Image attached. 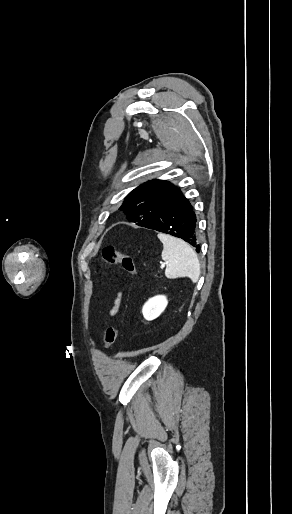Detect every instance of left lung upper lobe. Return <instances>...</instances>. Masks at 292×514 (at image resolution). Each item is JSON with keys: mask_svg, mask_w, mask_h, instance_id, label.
Returning a JSON list of instances; mask_svg holds the SVG:
<instances>
[{"mask_svg": "<svg viewBox=\"0 0 292 514\" xmlns=\"http://www.w3.org/2000/svg\"><path fill=\"white\" fill-rule=\"evenodd\" d=\"M179 189L164 180H151L131 191L119 208L130 222L145 227L161 213L166 202Z\"/></svg>", "mask_w": 292, "mask_h": 514, "instance_id": "obj_1", "label": "left lung upper lobe"}]
</instances>
